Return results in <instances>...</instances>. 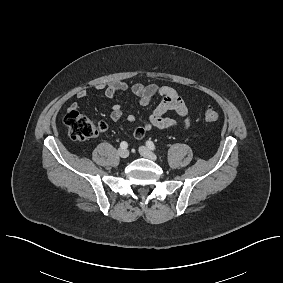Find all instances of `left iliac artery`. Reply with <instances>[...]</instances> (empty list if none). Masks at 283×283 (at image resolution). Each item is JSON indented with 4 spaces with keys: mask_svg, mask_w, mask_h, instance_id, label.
Here are the masks:
<instances>
[{
    "mask_svg": "<svg viewBox=\"0 0 283 283\" xmlns=\"http://www.w3.org/2000/svg\"><path fill=\"white\" fill-rule=\"evenodd\" d=\"M146 145L151 150H155L156 149L154 143L152 141H150V140L146 142Z\"/></svg>",
    "mask_w": 283,
    "mask_h": 283,
    "instance_id": "1",
    "label": "left iliac artery"
}]
</instances>
